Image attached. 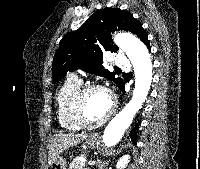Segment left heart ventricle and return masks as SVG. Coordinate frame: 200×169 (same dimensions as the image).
Listing matches in <instances>:
<instances>
[{
  "instance_id": "b2bd125f",
  "label": "left heart ventricle",
  "mask_w": 200,
  "mask_h": 169,
  "mask_svg": "<svg viewBox=\"0 0 200 169\" xmlns=\"http://www.w3.org/2000/svg\"><path fill=\"white\" fill-rule=\"evenodd\" d=\"M111 102L108 95L101 91H93L87 95L84 104L86 120L90 123L101 120L109 112Z\"/></svg>"
}]
</instances>
